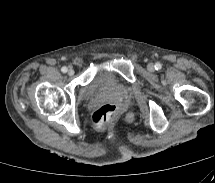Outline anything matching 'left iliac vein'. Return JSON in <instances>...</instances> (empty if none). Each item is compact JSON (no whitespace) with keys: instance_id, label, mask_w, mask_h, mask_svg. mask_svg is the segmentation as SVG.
Wrapping results in <instances>:
<instances>
[{"instance_id":"obj_1","label":"left iliac vein","mask_w":215,"mask_h":183,"mask_svg":"<svg viewBox=\"0 0 215 183\" xmlns=\"http://www.w3.org/2000/svg\"><path fill=\"white\" fill-rule=\"evenodd\" d=\"M147 69L149 70V71H154V64H152V63H149L148 65H147Z\"/></svg>"}]
</instances>
